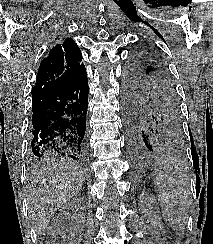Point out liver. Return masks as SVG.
<instances>
[{"instance_id":"liver-1","label":"liver","mask_w":213,"mask_h":244,"mask_svg":"<svg viewBox=\"0 0 213 244\" xmlns=\"http://www.w3.org/2000/svg\"><path fill=\"white\" fill-rule=\"evenodd\" d=\"M84 174L74 162L51 158L38 164L27 176V202L37 234L48 226L54 213L82 189Z\"/></svg>"}]
</instances>
